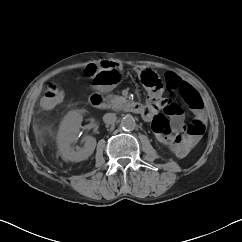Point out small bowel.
I'll use <instances>...</instances> for the list:
<instances>
[{
    "mask_svg": "<svg viewBox=\"0 0 242 242\" xmlns=\"http://www.w3.org/2000/svg\"><path fill=\"white\" fill-rule=\"evenodd\" d=\"M101 66L108 68V69H115L119 72H121L122 67L111 61H104L101 63ZM137 71L139 72L140 78H142L143 74L145 73H154L153 71L149 69L144 68H137ZM172 75L173 77L180 80V82H185L183 79L178 76L176 73L169 72L166 76V78ZM100 90L109 91L112 89V86H105L100 87L97 86ZM148 106L145 107L144 114L142 117L145 120H151L155 114H156V108L162 104L164 114H162L164 117L167 118L170 128V133L163 139L164 143L174 149V151L181 155H187L198 143L201 134L197 133V126L196 124L199 123L203 129V132L205 130L206 126V116L205 113L202 110V107L199 109H194V119L191 124H185L184 122V114L181 107L173 102H163L160 99L159 92L152 93L148 98Z\"/></svg>",
    "mask_w": 242,
    "mask_h": 242,
    "instance_id": "obj_1",
    "label": "small bowel"
}]
</instances>
